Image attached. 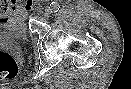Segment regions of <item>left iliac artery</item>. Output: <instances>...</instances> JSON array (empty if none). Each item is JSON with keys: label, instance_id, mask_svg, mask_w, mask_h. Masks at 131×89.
Wrapping results in <instances>:
<instances>
[{"label": "left iliac artery", "instance_id": "44dca946", "mask_svg": "<svg viewBox=\"0 0 131 89\" xmlns=\"http://www.w3.org/2000/svg\"><path fill=\"white\" fill-rule=\"evenodd\" d=\"M50 6H51V10H52L53 12H57V11L60 9V6H59V4H58L57 2H52V3L50 4Z\"/></svg>", "mask_w": 131, "mask_h": 89}]
</instances>
